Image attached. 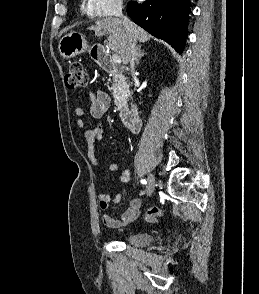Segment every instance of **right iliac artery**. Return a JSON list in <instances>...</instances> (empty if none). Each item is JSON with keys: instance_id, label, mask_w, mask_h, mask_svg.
Masks as SVG:
<instances>
[{"instance_id": "82829eb1", "label": "right iliac artery", "mask_w": 259, "mask_h": 294, "mask_svg": "<svg viewBox=\"0 0 259 294\" xmlns=\"http://www.w3.org/2000/svg\"><path fill=\"white\" fill-rule=\"evenodd\" d=\"M141 183L146 184L147 182H146V180H141Z\"/></svg>"}]
</instances>
